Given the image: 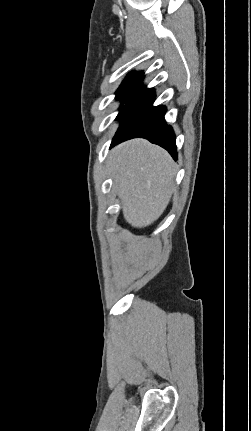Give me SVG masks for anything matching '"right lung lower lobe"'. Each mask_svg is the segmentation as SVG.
Returning a JSON list of instances; mask_svg holds the SVG:
<instances>
[{"label":"right lung lower lobe","mask_w":251,"mask_h":431,"mask_svg":"<svg viewBox=\"0 0 251 431\" xmlns=\"http://www.w3.org/2000/svg\"><path fill=\"white\" fill-rule=\"evenodd\" d=\"M154 100V90L147 89L140 81L117 116L121 125L111 146L132 138H145L166 149L176 160L175 135L164 120L167 109L163 105L154 107Z\"/></svg>","instance_id":"obj_1"}]
</instances>
